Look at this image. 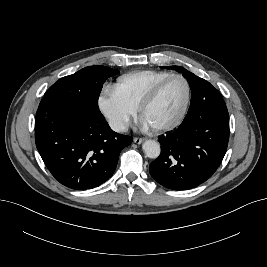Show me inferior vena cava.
Segmentation results:
<instances>
[{
  "label": "inferior vena cava",
  "instance_id": "1",
  "mask_svg": "<svg viewBox=\"0 0 267 267\" xmlns=\"http://www.w3.org/2000/svg\"><path fill=\"white\" fill-rule=\"evenodd\" d=\"M109 125L115 132H125L128 130V123L120 118L110 120Z\"/></svg>",
  "mask_w": 267,
  "mask_h": 267
}]
</instances>
